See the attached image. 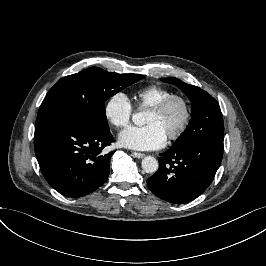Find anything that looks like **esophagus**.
I'll return each mask as SVG.
<instances>
[{
    "label": "esophagus",
    "instance_id": "obj_1",
    "mask_svg": "<svg viewBox=\"0 0 266 266\" xmlns=\"http://www.w3.org/2000/svg\"><path fill=\"white\" fill-rule=\"evenodd\" d=\"M132 154L134 157H136L138 159H142L145 156L144 153H139V152H133Z\"/></svg>",
    "mask_w": 266,
    "mask_h": 266
}]
</instances>
